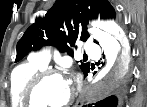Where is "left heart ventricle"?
<instances>
[{
	"label": "left heart ventricle",
	"instance_id": "left-heart-ventricle-1",
	"mask_svg": "<svg viewBox=\"0 0 147 107\" xmlns=\"http://www.w3.org/2000/svg\"><path fill=\"white\" fill-rule=\"evenodd\" d=\"M71 88L62 77H51L43 82L35 94L37 105L56 107L70 96Z\"/></svg>",
	"mask_w": 147,
	"mask_h": 107
}]
</instances>
